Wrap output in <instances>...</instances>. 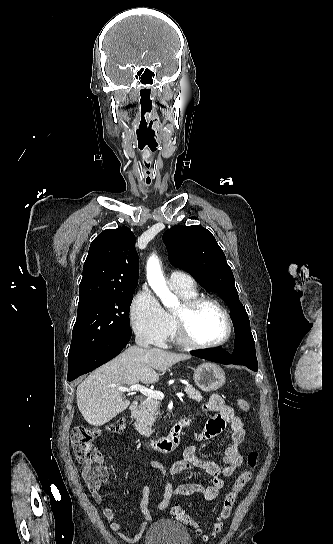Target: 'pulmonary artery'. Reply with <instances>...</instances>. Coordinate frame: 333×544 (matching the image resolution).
Returning a JSON list of instances; mask_svg holds the SVG:
<instances>
[{
  "instance_id": "pulmonary-artery-1",
  "label": "pulmonary artery",
  "mask_w": 333,
  "mask_h": 544,
  "mask_svg": "<svg viewBox=\"0 0 333 544\" xmlns=\"http://www.w3.org/2000/svg\"><path fill=\"white\" fill-rule=\"evenodd\" d=\"M170 284L175 289H192L195 288L193 278L181 271H173L169 276Z\"/></svg>"
}]
</instances>
